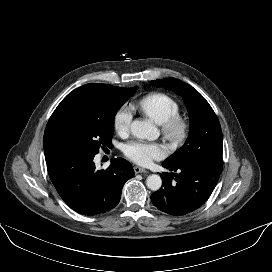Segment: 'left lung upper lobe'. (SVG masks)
Here are the masks:
<instances>
[{"label": "left lung upper lobe", "instance_id": "left-lung-upper-lobe-1", "mask_svg": "<svg viewBox=\"0 0 272 272\" xmlns=\"http://www.w3.org/2000/svg\"><path fill=\"white\" fill-rule=\"evenodd\" d=\"M151 84L173 90L182 96L190 117V131L185 144L164 162L170 165L189 162L221 173V126L206 99L192 86L179 79H158L151 81Z\"/></svg>", "mask_w": 272, "mask_h": 272}]
</instances>
